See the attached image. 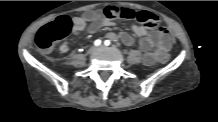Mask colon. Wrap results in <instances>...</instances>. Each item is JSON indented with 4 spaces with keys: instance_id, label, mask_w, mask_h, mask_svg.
Instances as JSON below:
<instances>
[{
    "instance_id": "5ec220e1",
    "label": "colon",
    "mask_w": 218,
    "mask_h": 122,
    "mask_svg": "<svg viewBox=\"0 0 218 122\" xmlns=\"http://www.w3.org/2000/svg\"><path fill=\"white\" fill-rule=\"evenodd\" d=\"M108 18L121 17L134 19L148 28H156L159 25V18L148 11H134L123 7H108L104 10ZM71 30V20L68 16H60L56 20L43 26L36 34L35 42L43 51L51 50L57 42L68 35ZM172 60V52L165 51L163 55L157 56L159 65L164 66Z\"/></svg>"
}]
</instances>
